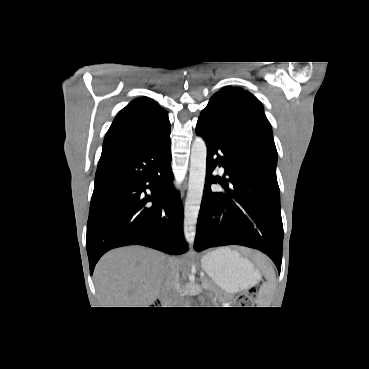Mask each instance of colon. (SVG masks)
<instances>
[{"label":"colon","instance_id":"1","mask_svg":"<svg viewBox=\"0 0 369 369\" xmlns=\"http://www.w3.org/2000/svg\"><path fill=\"white\" fill-rule=\"evenodd\" d=\"M256 297L255 289H252L238 297V304L241 307H250L254 304Z\"/></svg>","mask_w":369,"mask_h":369}]
</instances>
